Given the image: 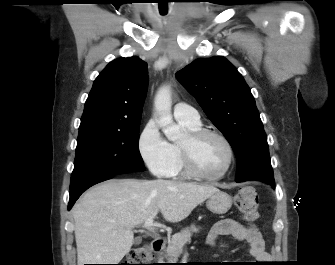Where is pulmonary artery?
I'll return each mask as SVG.
<instances>
[{"mask_svg":"<svg viewBox=\"0 0 335 265\" xmlns=\"http://www.w3.org/2000/svg\"><path fill=\"white\" fill-rule=\"evenodd\" d=\"M174 116L178 121H184L190 124L200 123L198 111L186 103H178L175 105Z\"/></svg>","mask_w":335,"mask_h":265,"instance_id":"obj_1","label":"pulmonary artery"}]
</instances>
